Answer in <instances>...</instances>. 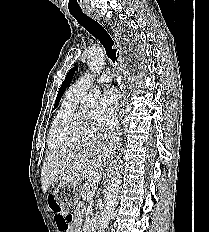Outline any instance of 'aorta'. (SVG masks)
I'll return each mask as SVG.
<instances>
[{"instance_id": "1", "label": "aorta", "mask_w": 209, "mask_h": 232, "mask_svg": "<svg viewBox=\"0 0 209 232\" xmlns=\"http://www.w3.org/2000/svg\"><path fill=\"white\" fill-rule=\"evenodd\" d=\"M87 64L89 70L99 74L104 66V53L98 47H93L88 52ZM101 92L97 87L92 88L86 98L82 101V106L91 110L99 108V98ZM122 166L116 162L113 168L112 177L108 190L105 194V207L98 218V232H103L112 218L114 209L117 204L118 193L122 183Z\"/></svg>"}]
</instances>
